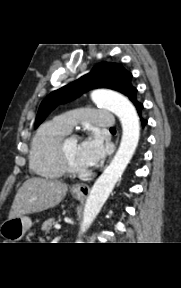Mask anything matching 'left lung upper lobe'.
Listing matches in <instances>:
<instances>
[{
	"mask_svg": "<svg viewBox=\"0 0 181 288\" xmlns=\"http://www.w3.org/2000/svg\"><path fill=\"white\" fill-rule=\"evenodd\" d=\"M132 74L121 64L101 62L88 74L50 93L41 103L35 121L37 128L47 115L59 104L75 99L94 88H109L131 97L137 90L131 85Z\"/></svg>",
	"mask_w": 181,
	"mask_h": 288,
	"instance_id": "1",
	"label": "left lung upper lobe"
}]
</instances>
